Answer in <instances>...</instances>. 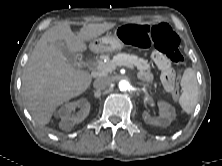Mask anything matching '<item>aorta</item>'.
<instances>
[{"mask_svg":"<svg viewBox=\"0 0 222 166\" xmlns=\"http://www.w3.org/2000/svg\"><path fill=\"white\" fill-rule=\"evenodd\" d=\"M118 86L121 91H126L130 88V83L127 80H121Z\"/></svg>","mask_w":222,"mask_h":166,"instance_id":"aorta-1","label":"aorta"}]
</instances>
